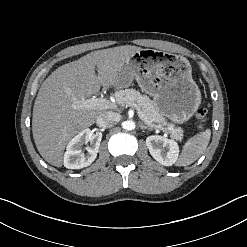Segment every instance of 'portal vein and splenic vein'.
Returning a JSON list of instances; mask_svg holds the SVG:
<instances>
[{
	"label": "portal vein and splenic vein",
	"instance_id": "18ae733b",
	"mask_svg": "<svg viewBox=\"0 0 247 247\" xmlns=\"http://www.w3.org/2000/svg\"><path fill=\"white\" fill-rule=\"evenodd\" d=\"M129 106L135 108L141 120H143L150 127L158 128L167 131L161 125L153 124L151 121L147 120L141 109L135 103H129ZM75 107L81 109H110L115 107V104L104 98L91 97L89 99H82L75 102Z\"/></svg>",
	"mask_w": 247,
	"mask_h": 247
}]
</instances>
